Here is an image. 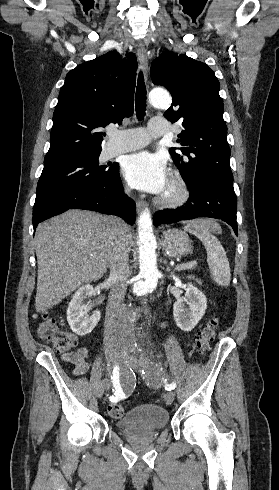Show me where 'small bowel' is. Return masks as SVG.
Masks as SVG:
<instances>
[{
  "label": "small bowel",
  "mask_w": 279,
  "mask_h": 490,
  "mask_svg": "<svg viewBox=\"0 0 279 490\" xmlns=\"http://www.w3.org/2000/svg\"><path fill=\"white\" fill-rule=\"evenodd\" d=\"M88 351L86 348L80 347L75 351L65 352L61 355V359L73 365V373L82 375L88 371L89 365L87 362Z\"/></svg>",
  "instance_id": "small-bowel-1"
}]
</instances>
